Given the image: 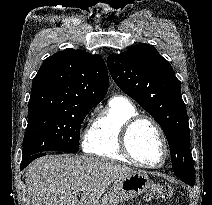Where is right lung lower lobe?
Segmentation results:
<instances>
[{"label": "right lung lower lobe", "mask_w": 212, "mask_h": 205, "mask_svg": "<svg viewBox=\"0 0 212 205\" xmlns=\"http://www.w3.org/2000/svg\"><path fill=\"white\" fill-rule=\"evenodd\" d=\"M47 152H41V153H37V154H33L27 158H23L22 159V163L20 165V170H23L32 160L45 155Z\"/></svg>", "instance_id": "right-lung-lower-lobe-1"}]
</instances>
